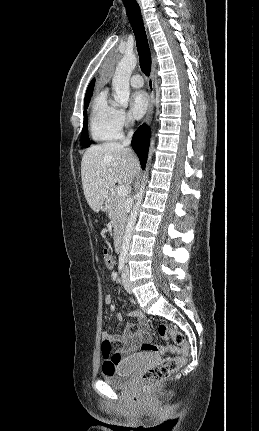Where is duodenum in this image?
I'll return each mask as SVG.
<instances>
[{"label": "duodenum", "instance_id": "1", "mask_svg": "<svg viewBox=\"0 0 259 431\" xmlns=\"http://www.w3.org/2000/svg\"><path fill=\"white\" fill-rule=\"evenodd\" d=\"M114 247L116 252H120L121 248H122V235L120 232H117L115 234V239H114Z\"/></svg>", "mask_w": 259, "mask_h": 431}]
</instances>
